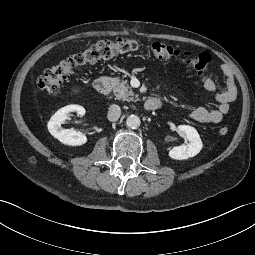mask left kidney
<instances>
[{"instance_id": "5707ae66", "label": "left kidney", "mask_w": 255, "mask_h": 255, "mask_svg": "<svg viewBox=\"0 0 255 255\" xmlns=\"http://www.w3.org/2000/svg\"><path fill=\"white\" fill-rule=\"evenodd\" d=\"M178 130L183 134L184 138L188 142L186 144L173 147L169 151V156L172 159L184 160L197 155L203 147V143L197 130L189 125H179Z\"/></svg>"}]
</instances>
